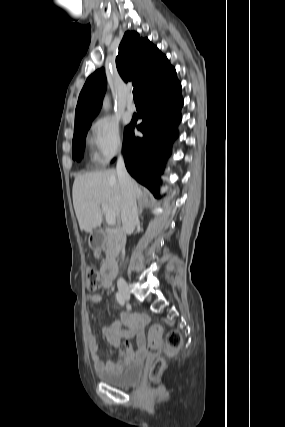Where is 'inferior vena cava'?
Instances as JSON below:
<instances>
[{"label": "inferior vena cava", "mask_w": 285, "mask_h": 427, "mask_svg": "<svg viewBox=\"0 0 285 427\" xmlns=\"http://www.w3.org/2000/svg\"><path fill=\"white\" fill-rule=\"evenodd\" d=\"M116 172L119 179L123 199L121 212L123 230L125 233L131 234L133 233L136 224L139 222L138 210L132 179L126 170L122 155H119L118 157Z\"/></svg>", "instance_id": "obj_1"}]
</instances>
